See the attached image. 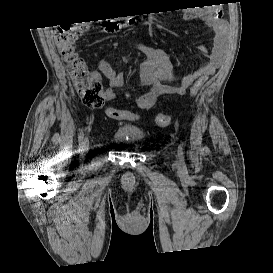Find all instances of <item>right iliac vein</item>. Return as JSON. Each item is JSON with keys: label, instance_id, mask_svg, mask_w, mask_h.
Returning <instances> with one entry per match:
<instances>
[{"label": "right iliac vein", "instance_id": "1", "mask_svg": "<svg viewBox=\"0 0 273 273\" xmlns=\"http://www.w3.org/2000/svg\"><path fill=\"white\" fill-rule=\"evenodd\" d=\"M89 149V140L88 138H85L82 142V150L87 151Z\"/></svg>", "mask_w": 273, "mask_h": 273}]
</instances>
